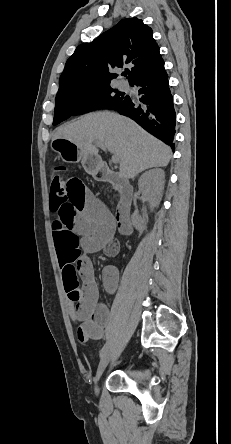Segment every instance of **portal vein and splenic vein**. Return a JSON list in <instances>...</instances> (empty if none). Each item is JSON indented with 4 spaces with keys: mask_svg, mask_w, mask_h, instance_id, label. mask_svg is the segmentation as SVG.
<instances>
[{
    "mask_svg": "<svg viewBox=\"0 0 231 444\" xmlns=\"http://www.w3.org/2000/svg\"><path fill=\"white\" fill-rule=\"evenodd\" d=\"M95 144L100 147L101 149H103L104 151H106V147L104 144L100 143V142H95ZM112 162L114 164H117L119 162V157L117 155H113L112 156Z\"/></svg>",
    "mask_w": 231,
    "mask_h": 444,
    "instance_id": "portal-vein-and-splenic-vein-1",
    "label": "portal vein and splenic vein"
}]
</instances>
